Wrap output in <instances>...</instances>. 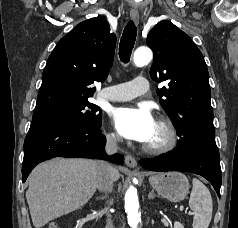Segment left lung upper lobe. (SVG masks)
<instances>
[{"label": "left lung upper lobe", "mask_w": 238, "mask_h": 228, "mask_svg": "<svg viewBox=\"0 0 238 228\" xmlns=\"http://www.w3.org/2000/svg\"><path fill=\"white\" fill-rule=\"evenodd\" d=\"M147 45L154 52L151 78L167 82L157 94L176 127L179 148L188 152L199 141L215 138L208 69L198 47L167 20L152 28Z\"/></svg>", "instance_id": "5c2ea615"}]
</instances>
